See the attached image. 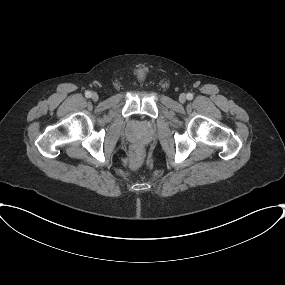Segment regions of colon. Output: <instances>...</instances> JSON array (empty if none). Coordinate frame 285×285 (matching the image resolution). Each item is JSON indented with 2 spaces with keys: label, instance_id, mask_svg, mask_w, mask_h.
<instances>
[{
  "label": "colon",
  "instance_id": "obj_1",
  "mask_svg": "<svg viewBox=\"0 0 285 285\" xmlns=\"http://www.w3.org/2000/svg\"><path fill=\"white\" fill-rule=\"evenodd\" d=\"M141 163H142V158L140 151L138 149H134L130 156V165L132 168L136 169L140 167Z\"/></svg>",
  "mask_w": 285,
  "mask_h": 285
}]
</instances>
